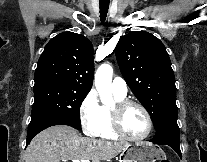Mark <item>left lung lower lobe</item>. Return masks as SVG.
<instances>
[{
  "label": "left lung lower lobe",
  "instance_id": "left-lung-lower-lobe-1",
  "mask_svg": "<svg viewBox=\"0 0 207 162\" xmlns=\"http://www.w3.org/2000/svg\"><path fill=\"white\" fill-rule=\"evenodd\" d=\"M150 141L160 145L170 146L177 152L180 158H182L180 151L179 127L177 122L168 123L156 130L155 137Z\"/></svg>",
  "mask_w": 207,
  "mask_h": 162
}]
</instances>
